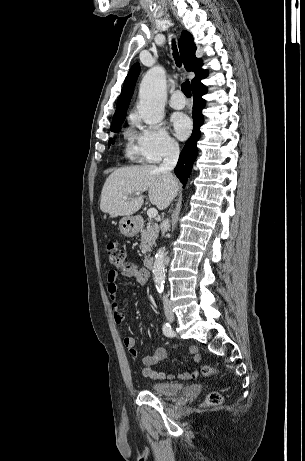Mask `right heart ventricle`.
Returning <instances> with one entry per match:
<instances>
[{
    "mask_svg": "<svg viewBox=\"0 0 305 461\" xmlns=\"http://www.w3.org/2000/svg\"><path fill=\"white\" fill-rule=\"evenodd\" d=\"M127 136H128L129 138H132V137H133V134H132L131 132H127ZM126 153H127L128 156H130V157H132V158L135 157V155H136V150H135V147H134L131 143L128 144V146H127V148H126Z\"/></svg>",
    "mask_w": 305,
    "mask_h": 461,
    "instance_id": "obj_1",
    "label": "right heart ventricle"
}]
</instances>
